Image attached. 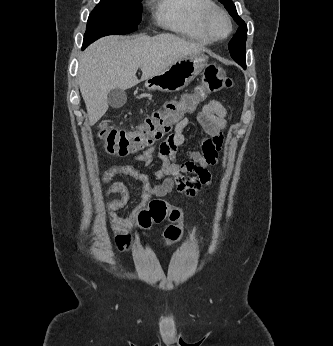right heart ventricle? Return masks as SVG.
<instances>
[{
	"mask_svg": "<svg viewBox=\"0 0 333 346\" xmlns=\"http://www.w3.org/2000/svg\"><path fill=\"white\" fill-rule=\"evenodd\" d=\"M158 24L193 42L208 44L212 38L203 25L205 11L214 5L212 0H153Z\"/></svg>",
	"mask_w": 333,
	"mask_h": 346,
	"instance_id": "right-heart-ventricle-1",
	"label": "right heart ventricle"
}]
</instances>
